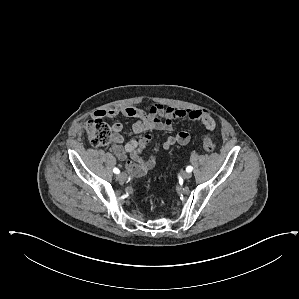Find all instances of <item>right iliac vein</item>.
Listing matches in <instances>:
<instances>
[{
  "mask_svg": "<svg viewBox=\"0 0 299 299\" xmlns=\"http://www.w3.org/2000/svg\"><path fill=\"white\" fill-rule=\"evenodd\" d=\"M126 178H127V175L125 173H120L117 176L118 181L121 182V183L125 182Z\"/></svg>",
  "mask_w": 299,
  "mask_h": 299,
  "instance_id": "right-iliac-vein-1",
  "label": "right iliac vein"
}]
</instances>
